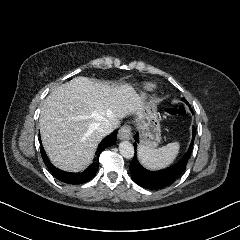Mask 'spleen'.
I'll use <instances>...</instances> for the list:
<instances>
[{"label":"spleen","instance_id":"obj_1","mask_svg":"<svg viewBox=\"0 0 240 240\" xmlns=\"http://www.w3.org/2000/svg\"><path fill=\"white\" fill-rule=\"evenodd\" d=\"M180 149L178 142L169 143L161 148H149L140 145L138 147V159L147 169L159 170L173 163Z\"/></svg>","mask_w":240,"mask_h":240}]
</instances>
